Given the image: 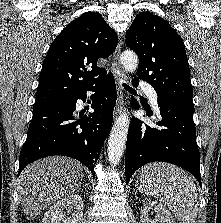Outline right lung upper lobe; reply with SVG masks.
<instances>
[{
  "label": "right lung upper lobe",
  "instance_id": "1",
  "mask_svg": "<svg viewBox=\"0 0 221 223\" xmlns=\"http://www.w3.org/2000/svg\"><path fill=\"white\" fill-rule=\"evenodd\" d=\"M118 38L98 12H87L67 25L52 42L39 76L35 107L70 98L105 74L98 58H107ZM92 68L90 71L87 68Z\"/></svg>",
  "mask_w": 221,
  "mask_h": 223
}]
</instances>
